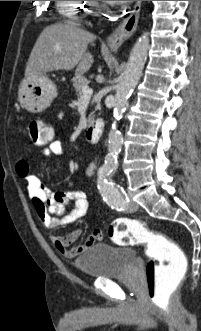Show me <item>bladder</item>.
Listing matches in <instances>:
<instances>
[{
  "instance_id": "obj_1",
  "label": "bladder",
  "mask_w": 201,
  "mask_h": 331,
  "mask_svg": "<svg viewBox=\"0 0 201 331\" xmlns=\"http://www.w3.org/2000/svg\"><path fill=\"white\" fill-rule=\"evenodd\" d=\"M136 251L130 247L97 243L78 256L75 267L92 279L124 277L135 264Z\"/></svg>"
}]
</instances>
